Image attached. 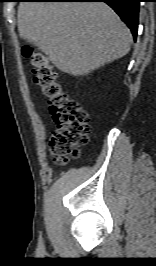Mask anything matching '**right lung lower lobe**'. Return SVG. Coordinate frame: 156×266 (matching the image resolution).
<instances>
[{
  "instance_id": "obj_1",
  "label": "right lung lower lobe",
  "mask_w": 156,
  "mask_h": 266,
  "mask_svg": "<svg viewBox=\"0 0 156 266\" xmlns=\"http://www.w3.org/2000/svg\"><path fill=\"white\" fill-rule=\"evenodd\" d=\"M44 2H105L130 28L134 39L137 37L140 0H32Z\"/></svg>"
}]
</instances>
